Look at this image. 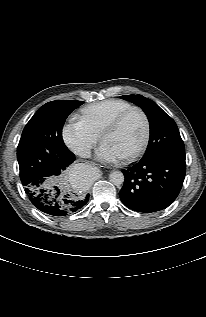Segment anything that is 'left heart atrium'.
<instances>
[{
	"label": "left heart atrium",
	"mask_w": 206,
	"mask_h": 317,
	"mask_svg": "<svg viewBox=\"0 0 206 317\" xmlns=\"http://www.w3.org/2000/svg\"><path fill=\"white\" fill-rule=\"evenodd\" d=\"M97 157L105 162H116L122 157L111 146L103 143L96 153Z\"/></svg>",
	"instance_id": "left-heart-atrium-1"
}]
</instances>
